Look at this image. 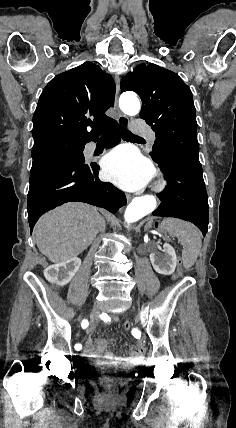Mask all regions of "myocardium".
Wrapping results in <instances>:
<instances>
[{"instance_id":"obj_1","label":"myocardium","mask_w":236,"mask_h":428,"mask_svg":"<svg viewBox=\"0 0 236 428\" xmlns=\"http://www.w3.org/2000/svg\"><path fill=\"white\" fill-rule=\"evenodd\" d=\"M155 180L152 185L153 192L162 194L169 189V182L161 171L154 172Z\"/></svg>"}]
</instances>
